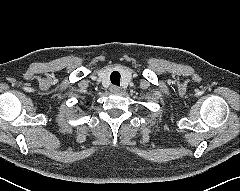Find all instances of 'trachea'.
I'll list each match as a JSON object with an SVG mask.
<instances>
[{"label":"trachea","instance_id":"3493384b","mask_svg":"<svg viewBox=\"0 0 240 191\" xmlns=\"http://www.w3.org/2000/svg\"><path fill=\"white\" fill-rule=\"evenodd\" d=\"M111 83L114 85H120V73L117 71H113L110 76Z\"/></svg>","mask_w":240,"mask_h":191}]
</instances>
